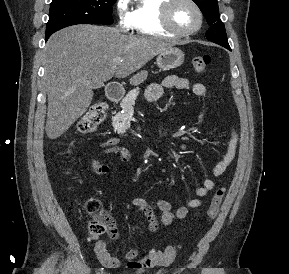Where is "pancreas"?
<instances>
[{
  "instance_id": "obj_1",
  "label": "pancreas",
  "mask_w": 289,
  "mask_h": 274,
  "mask_svg": "<svg viewBox=\"0 0 289 274\" xmlns=\"http://www.w3.org/2000/svg\"><path fill=\"white\" fill-rule=\"evenodd\" d=\"M137 95V90L130 91L120 103L123 111L117 113L112 118V126L114 128V131L118 134H124L126 130L130 127V122L134 114L133 106L135 105Z\"/></svg>"
}]
</instances>
